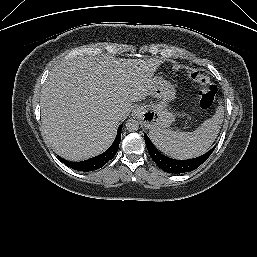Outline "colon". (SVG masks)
Here are the masks:
<instances>
[{"label":"colon","mask_w":257,"mask_h":257,"mask_svg":"<svg viewBox=\"0 0 257 257\" xmlns=\"http://www.w3.org/2000/svg\"><path fill=\"white\" fill-rule=\"evenodd\" d=\"M189 79L200 86L198 92L199 106L202 109H209L214 104L217 87L210 81L209 77L199 71L188 74Z\"/></svg>","instance_id":"5ec220e1"}]
</instances>
